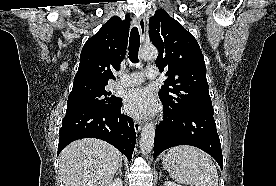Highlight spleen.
Returning <instances> with one entry per match:
<instances>
[{
    "mask_svg": "<svg viewBox=\"0 0 276 186\" xmlns=\"http://www.w3.org/2000/svg\"><path fill=\"white\" fill-rule=\"evenodd\" d=\"M164 168L178 183L190 186H218V172L211 157L198 148H171L163 158Z\"/></svg>",
    "mask_w": 276,
    "mask_h": 186,
    "instance_id": "spleen-1",
    "label": "spleen"
}]
</instances>
